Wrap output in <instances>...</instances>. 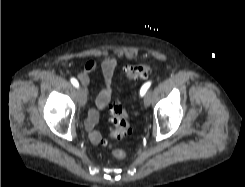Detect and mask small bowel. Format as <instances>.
<instances>
[{
    "instance_id": "c3829d8e",
    "label": "small bowel",
    "mask_w": 245,
    "mask_h": 187,
    "mask_svg": "<svg viewBox=\"0 0 245 187\" xmlns=\"http://www.w3.org/2000/svg\"><path fill=\"white\" fill-rule=\"evenodd\" d=\"M118 60L114 57L103 60L100 64L96 61H87L84 66L76 71L77 78L84 86L90 83L89 75L100 71L102 73L103 87L96 99L98 109H104L109 104L113 96V82L116 75ZM98 120V112L96 109H90L86 121V126L90 130L89 137L93 144L103 143L101 135L94 130V126Z\"/></svg>"
}]
</instances>
